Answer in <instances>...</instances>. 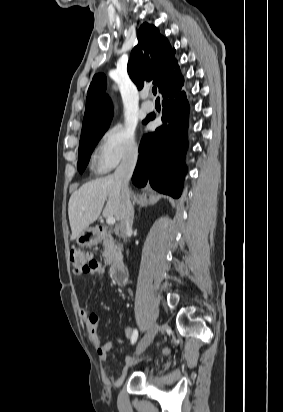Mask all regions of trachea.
Listing matches in <instances>:
<instances>
[{"instance_id":"trachea-1","label":"trachea","mask_w":283,"mask_h":412,"mask_svg":"<svg viewBox=\"0 0 283 412\" xmlns=\"http://www.w3.org/2000/svg\"><path fill=\"white\" fill-rule=\"evenodd\" d=\"M152 92H153L154 95H156V93H157L156 87H153V88H152ZM156 101H159V98H157Z\"/></svg>"}]
</instances>
